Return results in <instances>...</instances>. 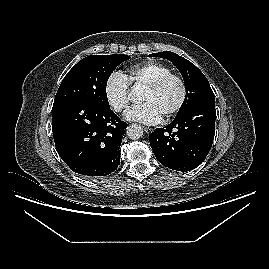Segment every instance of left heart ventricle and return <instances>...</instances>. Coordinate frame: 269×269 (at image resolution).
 Returning <instances> with one entry per match:
<instances>
[{
	"label": "left heart ventricle",
	"instance_id": "1",
	"mask_svg": "<svg viewBox=\"0 0 269 269\" xmlns=\"http://www.w3.org/2000/svg\"><path fill=\"white\" fill-rule=\"evenodd\" d=\"M181 87L177 80H170L162 89L152 92L145 89L142 102H150L157 109L161 117H164L179 101Z\"/></svg>",
	"mask_w": 269,
	"mask_h": 269
}]
</instances>
